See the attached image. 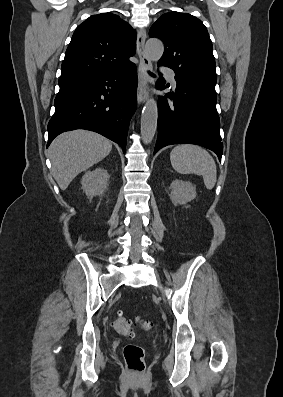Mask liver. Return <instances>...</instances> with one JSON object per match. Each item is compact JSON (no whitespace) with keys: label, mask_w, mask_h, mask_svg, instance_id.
Listing matches in <instances>:
<instances>
[{"label":"liver","mask_w":283,"mask_h":397,"mask_svg":"<svg viewBox=\"0 0 283 397\" xmlns=\"http://www.w3.org/2000/svg\"><path fill=\"white\" fill-rule=\"evenodd\" d=\"M112 143L100 134L74 130L60 134L49 147L52 172L61 190L81 172L104 159Z\"/></svg>","instance_id":"liver-1"}]
</instances>
